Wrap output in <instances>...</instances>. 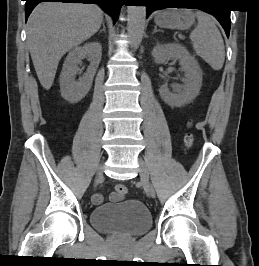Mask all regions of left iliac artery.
Instances as JSON below:
<instances>
[{"mask_svg":"<svg viewBox=\"0 0 259 266\" xmlns=\"http://www.w3.org/2000/svg\"><path fill=\"white\" fill-rule=\"evenodd\" d=\"M149 185H152V182H149ZM149 190H151L152 196H154V198L158 197V194H156V190L153 188V186H149Z\"/></svg>","mask_w":259,"mask_h":266,"instance_id":"44dca946","label":"left iliac artery"}]
</instances>
